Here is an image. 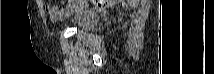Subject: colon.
<instances>
[{"label":"colon","instance_id":"5ec220e1","mask_svg":"<svg viewBox=\"0 0 214 74\" xmlns=\"http://www.w3.org/2000/svg\"><path fill=\"white\" fill-rule=\"evenodd\" d=\"M90 2L99 8L112 7L118 3V1L114 0H92Z\"/></svg>","mask_w":214,"mask_h":74}]
</instances>
